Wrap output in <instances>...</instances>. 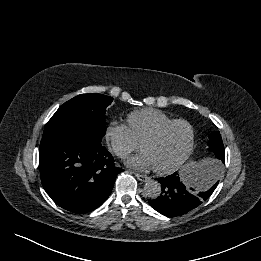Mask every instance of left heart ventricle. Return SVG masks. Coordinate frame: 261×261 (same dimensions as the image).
Segmentation results:
<instances>
[{"instance_id":"obj_1","label":"left heart ventricle","mask_w":261,"mask_h":261,"mask_svg":"<svg viewBox=\"0 0 261 261\" xmlns=\"http://www.w3.org/2000/svg\"><path fill=\"white\" fill-rule=\"evenodd\" d=\"M189 137L188 127L176 124L168 128L159 139L146 143L143 150L150 155L154 167H168L182 157Z\"/></svg>"}]
</instances>
